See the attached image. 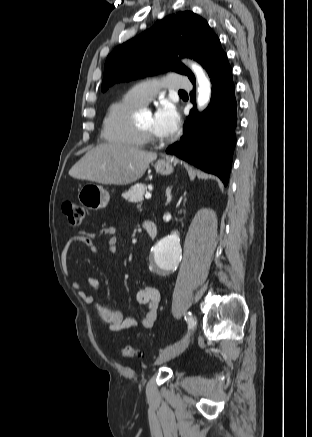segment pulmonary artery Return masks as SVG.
I'll return each mask as SVG.
<instances>
[{
  "label": "pulmonary artery",
  "instance_id": "e3ab8cb5",
  "mask_svg": "<svg viewBox=\"0 0 312 437\" xmlns=\"http://www.w3.org/2000/svg\"><path fill=\"white\" fill-rule=\"evenodd\" d=\"M190 86V80L185 75L169 74L160 79L141 82L130 89L127 95L130 99L144 106L161 88L188 89Z\"/></svg>",
  "mask_w": 312,
  "mask_h": 437
}]
</instances>
